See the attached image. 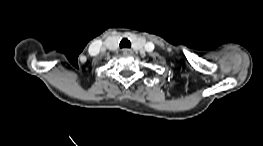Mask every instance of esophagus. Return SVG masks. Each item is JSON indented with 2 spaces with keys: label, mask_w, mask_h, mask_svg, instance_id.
Listing matches in <instances>:
<instances>
[{
  "label": "esophagus",
  "mask_w": 263,
  "mask_h": 146,
  "mask_svg": "<svg viewBox=\"0 0 263 146\" xmlns=\"http://www.w3.org/2000/svg\"><path fill=\"white\" fill-rule=\"evenodd\" d=\"M132 51L130 50V49H128V48H123L122 49V53L124 54V55H127V54H130Z\"/></svg>",
  "instance_id": "34e87169"
}]
</instances>
